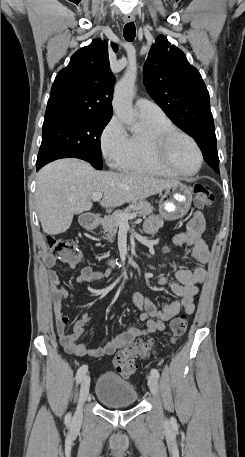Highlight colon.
<instances>
[{
  "instance_id": "5ec220e1",
  "label": "colon",
  "mask_w": 245,
  "mask_h": 457,
  "mask_svg": "<svg viewBox=\"0 0 245 457\" xmlns=\"http://www.w3.org/2000/svg\"><path fill=\"white\" fill-rule=\"evenodd\" d=\"M195 202L199 207H206L213 203L214 195L209 186L198 184L194 188ZM49 253L56 258L78 259L80 251L74 241L58 238L54 235L46 236ZM189 322L185 315L175 318L170 325L172 342L180 339L186 332ZM152 354V342L135 340L126 344L113 359L115 370L124 378H128L136 371L137 358L148 357Z\"/></svg>"
}]
</instances>
